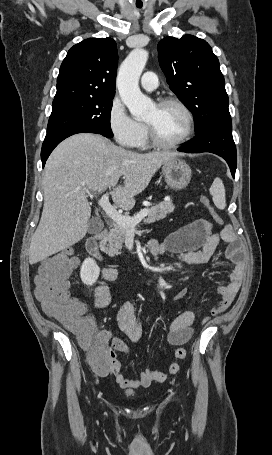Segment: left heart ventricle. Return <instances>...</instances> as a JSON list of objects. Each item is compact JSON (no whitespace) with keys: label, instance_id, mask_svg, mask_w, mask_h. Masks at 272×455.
Here are the masks:
<instances>
[{"label":"left heart ventricle","instance_id":"b2bd125f","mask_svg":"<svg viewBox=\"0 0 272 455\" xmlns=\"http://www.w3.org/2000/svg\"><path fill=\"white\" fill-rule=\"evenodd\" d=\"M145 122L149 123L157 137L166 143L179 140L185 133L187 121L180 108L174 105L151 108Z\"/></svg>","mask_w":272,"mask_h":455}]
</instances>
